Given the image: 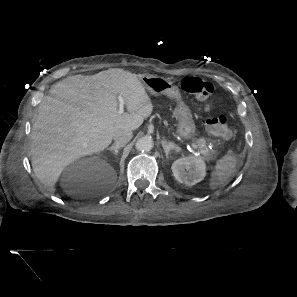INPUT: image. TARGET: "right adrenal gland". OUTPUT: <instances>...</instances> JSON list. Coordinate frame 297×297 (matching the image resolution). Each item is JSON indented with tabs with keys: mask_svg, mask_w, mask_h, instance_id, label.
I'll return each mask as SVG.
<instances>
[{
	"mask_svg": "<svg viewBox=\"0 0 297 297\" xmlns=\"http://www.w3.org/2000/svg\"><path fill=\"white\" fill-rule=\"evenodd\" d=\"M120 148H121L120 146L113 144L112 146L107 148V150L114 151V154L117 155Z\"/></svg>",
	"mask_w": 297,
	"mask_h": 297,
	"instance_id": "1",
	"label": "right adrenal gland"
}]
</instances>
